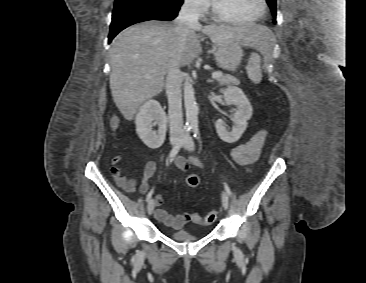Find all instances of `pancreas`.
Returning a JSON list of instances; mask_svg holds the SVG:
<instances>
[{"mask_svg":"<svg viewBox=\"0 0 366 283\" xmlns=\"http://www.w3.org/2000/svg\"><path fill=\"white\" fill-rule=\"evenodd\" d=\"M221 85H239L240 81L231 75H223L218 78Z\"/></svg>","mask_w":366,"mask_h":283,"instance_id":"cf45deb5","label":"pancreas"}]
</instances>
